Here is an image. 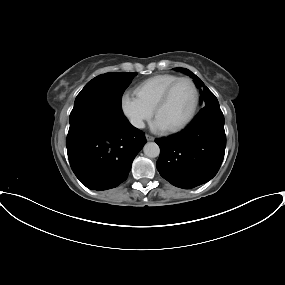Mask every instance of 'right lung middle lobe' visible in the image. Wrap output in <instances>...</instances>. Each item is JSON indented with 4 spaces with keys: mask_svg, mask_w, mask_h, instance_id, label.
Returning a JSON list of instances; mask_svg holds the SVG:
<instances>
[{
    "mask_svg": "<svg viewBox=\"0 0 285 285\" xmlns=\"http://www.w3.org/2000/svg\"><path fill=\"white\" fill-rule=\"evenodd\" d=\"M137 73L110 72L95 77L77 95L69 122L91 112H102L118 118L125 117L121 97Z\"/></svg>",
    "mask_w": 285,
    "mask_h": 285,
    "instance_id": "dd1d6c3e",
    "label": "right lung middle lobe"
}]
</instances>
